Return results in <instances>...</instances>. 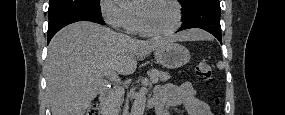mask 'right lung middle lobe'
<instances>
[{"mask_svg":"<svg viewBox=\"0 0 285 115\" xmlns=\"http://www.w3.org/2000/svg\"><path fill=\"white\" fill-rule=\"evenodd\" d=\"M87 11L101 14L100 0H50L49 18L65 11Z\"/></svg>","mask_w":285,"mask_h":115,"instance_id":"dd1d6c3e","label":"right lung middle lobe"}]
</instances>
